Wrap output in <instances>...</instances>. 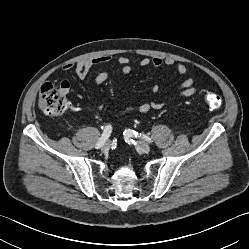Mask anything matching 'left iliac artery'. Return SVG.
Wrapping results in <instances>:
<instances>
[{"mask_svg": "<svg viewBox=\"0 0 249 249\" xmlns=\"http://www.w3.org/2000/svg\"><path fill=\"white\" fill-rule=\"evenodd\" d=\"M123 134L125 135L126 138H128V137H136V138L140 137L149 143L153 142L149 136L142 134V133L139 134L138 132L131 130V129H126Z\"/></svg>", "mask_w": 249, "mask_h": 249, "instance_id": "44dca946", "label": "left iliac artery"}]
</instances>
